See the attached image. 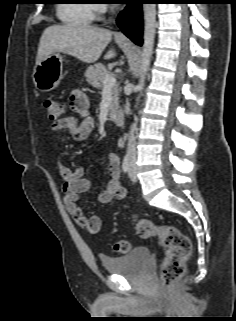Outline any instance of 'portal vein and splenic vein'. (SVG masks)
Instances as JSON below:
<instances>
[{
	"label": "portal vein and splenic vein",
	"instance_id": "portal-vein-and-splenic-vein-1",
	"mask_svg": "<svg viewBox=\"0 0 236 321\" xmlns=\"http://www.w3.org/2000/svg\"><path fill=\"white\" fill-rule=\"evenodd\" d=\"M105 88H110L115 86L116 84V78L113 75L107 76L102 81Z\"/></svg>",
	"mask_w": 236,
	"mask_h": 321
}]
</instances>
